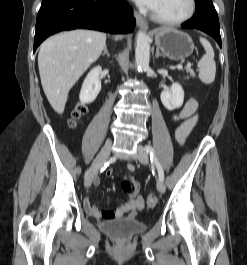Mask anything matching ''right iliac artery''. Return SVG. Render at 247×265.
Here are the masks:
<instances>
[{
	"mask_svg": "<svg viewBox=\"0 0 247 265\" xmlns=\"http://www.w3.org/2000/svg\"><path fill=\"white\" fill-rule=\"evenodd\" d=\"M88 173H89V171L86 172V174H85V178L87 177Z\"/></svg>",
	"mask_w": 247,
	"mask_h": 265,
	"instance_id": "82829eb1",
	"label": "right iliac artery"
}]
</instances>
